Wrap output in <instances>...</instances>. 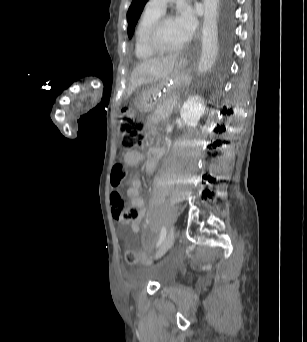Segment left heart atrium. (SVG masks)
Here are the masks:
<instances>
[{
	"label": "left heart atrium",
	"instance_id": "left-heart-atrium-1",
	"mask_svg": "<svg viewBox=\"0 0 307 342\" xmlns=\"http://www.w3.org/2000/svg\"><path fill=\"white\" fill-rule=\"evenodd\" d=\"M177 29L184 40V42H189L192 40L196 33L197 29V21L194 18L191 11H184L177 19H176Z\"/></svg>",
	"mask_w": 307,
	"mask_h": 342
}]
</instances>
